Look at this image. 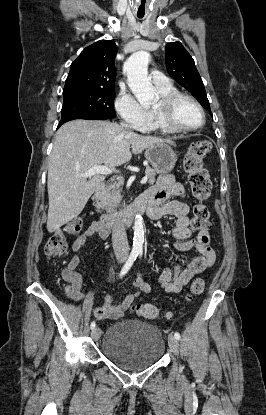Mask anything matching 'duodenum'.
Returning <instances> with one entry per match:
<instances>
[{
  "label": "duodenum",
  "mask_w": 266,
  "mask_h": 415,
  "mask_svg": "<svg viewBox=\"0 0 266 415\" xmlns=\"http://www.w3.org/2000/svg\"><path fill=\"white\" fill-rule=\"evenodd\" d=\"M103 184H98L95 188V196L99 197L103 192ZM147 210L145 203L137 200L131 206H129L124 212L121 213H108L101 217V224L107 230L117 229L122 226H130L136 217Z\"/></svg>",
  "instance_id": "obj_1"
}]
</instances>
